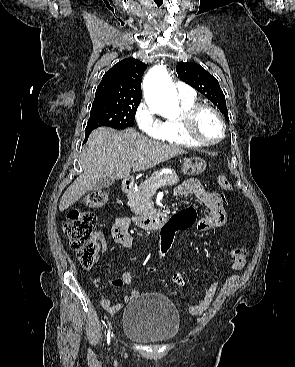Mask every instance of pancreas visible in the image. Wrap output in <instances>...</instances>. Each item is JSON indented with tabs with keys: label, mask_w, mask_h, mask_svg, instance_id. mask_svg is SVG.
Instances as JSON below:
<instances>
[{
	"label": "pancreas",
	"mask_w": 295,
	"mask_h": 367,
	"mask_svg": "<svg viewBox=\"0 0 295 367\" xmlns=\"http://www.w3.org/2000/svg\"><path fill=\"white\" fill-rule=\"evenodd\" d=\"M160 180H166L167 186H173L179 182L176 173L164 174L162 177L154 174L141 183L137 187V190L129 192L127 195L129 200L127 204L136 215L145 216L154 210V205L151 200L153 192L150 190V187Z\"/></svg>",
	"instance_id": "1"
}]
</instances>
